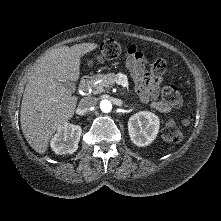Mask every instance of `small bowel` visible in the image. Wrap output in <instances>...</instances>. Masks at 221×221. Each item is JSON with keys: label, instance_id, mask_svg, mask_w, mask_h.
<instances>
[{"label": "small bowel", "instance_id": "small-bowel-1", "mask_svg": "<svg viewBox=\"0 0 221 221\" xmlns=\"http://www.w3.org/2000/svg\"><path fill=\"white\" fill-rule=\"evenodd\" d=\"M124 64L130 70L135 81L139 98L161 113L170 112L171 106L159 100L160 80H153L148 76L146 72L147 60L135 45L129 47Z\"/></svg>", "mask_w": 221, "mask_h": 221}]
</instances>
